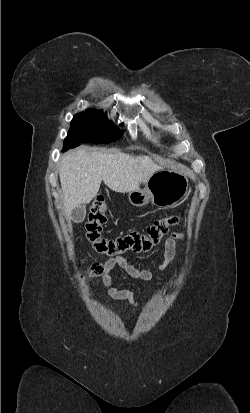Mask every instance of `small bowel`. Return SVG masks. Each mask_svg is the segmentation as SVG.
<instances>
[{"label":"small bowel","instance_id":"c3829d8e","mask_svg":"<svg viewBox=\"0 0 250 413\" xmlns=\"http://www.w3.org/2000/svg\"><path fill=\"white\" fill-rule=\"evenodd\" d=\"M181 238V234L174 233L168 237L165 241L164 248V261L157 266L158 270H164L167 265L174 260L177 255V240ZM115 267H119L124 270L130 277L143 281H149L153 277L152 271L148 269H139L132 265L122 255H116L107 259L103 265L102 282L107 288V294L109 297L116 300H127L133 306H137L138 303L134 299V293L128 288H115L112 287L111 272Z\"/></svg>","mask_w":250,"mask_h":413}]
</instances>
